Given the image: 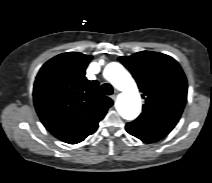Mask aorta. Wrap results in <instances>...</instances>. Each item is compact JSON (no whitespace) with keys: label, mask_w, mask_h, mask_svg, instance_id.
I'll return each mask as SVG.
<instances>
[{"label":"aorta","mask_w":212,"mask_h":183,"mask_svg":"<svg viewBox=\"0 0 212 183\" xmlns=\"http://www.w3.org/2000/svg\"><path fill=\"white\" fill-rule=\"evenodd\" d=\"M104 77L122 91L117 100L119 114L127 120L135 119L141 111V97L129 72L117 62H110L104 69Z\"/></svg>","instance_id":"762f6f07"}]
</instances>
